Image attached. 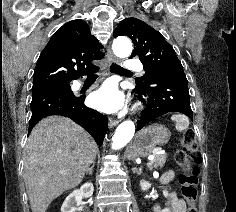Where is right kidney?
Here are the masks:
<instances>
[{
  "label": "right kidney",
  "mask_w": 236,
  "mask_h": 212,
  "mask_svg": "<svg viewBox=\"0 0 236 212\" xmlns=\"http://www.w3.org/2000/svg\"><path fill=\"white\" fill-rule=\"evenodd\" d=\"M94 187L91 182L83 184L80 189L74 190L70 193L62 204L61 212H76L81 210L78 207L82 198H90L93 195Z\"/></svg>",
  "instance_id": "1"
}]
</instances>
